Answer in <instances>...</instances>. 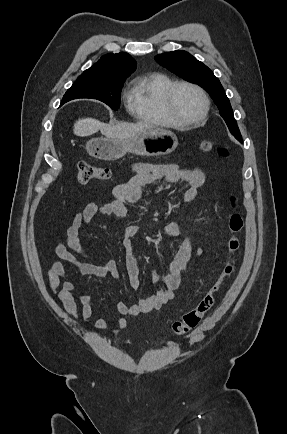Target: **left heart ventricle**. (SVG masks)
<instances>
[{"mask_svg": "<svg viewBox=\"0 0 287 434\" xmlns=\"http://www.w3.org/2000/svg\"><path fill=\"white\" fill-rule=\"evenodd\" d=\"M174 109L178 116L190 120L201 115L203 102L194 89L183 86L178 88L175 93Z\"/></svg>", "mask_w": 287, "mask_h": 434, "instance_id": "left-heart-ventricle-1", "label": "left heart ventricle"}]
</instances>
